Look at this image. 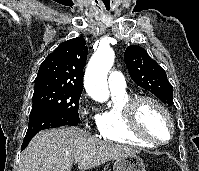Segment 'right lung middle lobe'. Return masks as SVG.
Listing matches in <instances>:
<instances>
[{
  "instance_id": "obj_1",
  "label": "right lung middle lobe",
  "mask_w": 199,
  "mask_h": 171,
  "mask_svg": "<svg viewBox=\"0 0 199 171\" xmlns=\"http://www.w3.org/2000/svg\"><path fill=\"white\" fill-rule=\"evenodd\" d=\"M82 90L57 84H35L33 112L55 110L79 121L78 104Z\"/></svg>"
}]
</instances>
